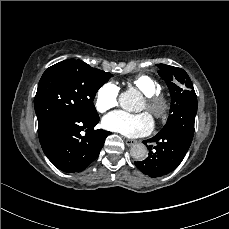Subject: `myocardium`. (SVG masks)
I'll return each mask as SVG.
<instances>
[{
    "label": "myocardium",
    "instance_id": "f54148a6",
    "mask_svg": "<svg viewBox=\"0 0 229 229\" xmlns=\"http://www.w3.org/2000/svg\"><path fill=\"white\" fill-rule=\"evenodd\" d=\"M146 108L157 119H167L171 111L170 101L160 93L146 95Z\"/></svg>",
    "mask_w": 229,
    "mask_h": 229
}]
</instances>
